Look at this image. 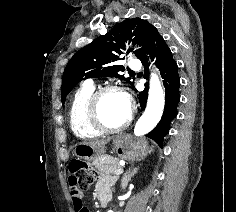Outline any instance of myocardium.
<instances>
[{"mask_svg": "<svg viewBox=\"0 0 236 212\" xmlns=\"http://www.w3.org/2000/svg\"><path fill=\"white\" fill-rule=\"evenodd\" d=\"M110 92H118L122 94L126 98L129 107L128 115L125 121L118 127L114 128L106 126L102 122L100 117L101 99L105 94ZM87 113H88V121L92 127H94L96 130H98L100 133L103 134H115V133H120L129 127V125L133 120L134 107L128 93L122 87L116 84H109L102 86L94 91L88 103Z\"/></svg>", "mask_w": 236, "mask_h": 212, "instance_id": "myocardium-1", "label": "myocardium"}]
</instances>
